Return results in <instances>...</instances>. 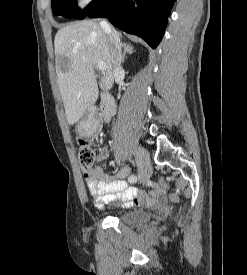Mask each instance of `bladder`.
Segmentation results:
<instances>
[{"label":"bladder","mask_w":247,"mask_h":275,"mask_svg":"<svg viewBox=\"0 0 247 275\" xmlns=\"http://www.w3.org/2000/svg\"><path fill=\"white\" fill-rule=\"evenodd\" d=\"M153 214L146 210H133L119 217V221L129 225L147 224L152 220Z\"/></svg>","instance_id":"31cf9c89"}]
</instances>
